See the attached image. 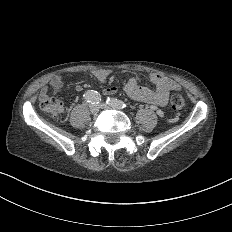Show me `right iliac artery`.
I'll list each match as a JSON object with an SVG mask.
<instances>
[{"label":"right iliac artery","instance_id":"right-iliac-artery-1","mask_svg":"<svg viewBox=\"0 0 232 232\" xmlns=\"http://www.w3.org/2000/svg\"><path fill=\"white\" fill-rule=\"evenodd\" d=\"M83 100L88 103L97 104L101 101V96L95 90H87L83 93Z\"/></svg>","mask_w":232,"mask_h":232}]
</instances>
